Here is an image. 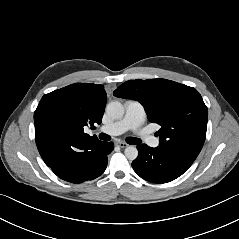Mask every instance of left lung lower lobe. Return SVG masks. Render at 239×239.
I'll return each instance as SVG.
<instances>
[{
  "mask_svg": "<svg viewBox=\"0 0 239 239\" xmlns=\"http://www.w3.org/2000/svg\"><path fill=\"white\" fill-rule=\"evenodd\" d=\"M138 157L132 162L134 171L144 180L153 183H167L181 176L194 162L174 149L158 146H137Z\"/></svg>",
  "mask_w": 239,
  "mask_h": 239,
  "instance_id": "obj_1",
  "label": "left lung lower lobe"
}]
</instances>
